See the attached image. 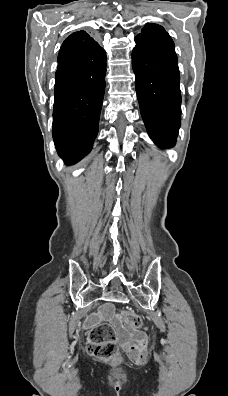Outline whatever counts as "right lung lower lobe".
<instances>
[{
	"label": "right lung lower lobe",
	"instance_id": "right-lung-lower-lobe-1",
	"mask_svg": "<svg viewBox=\"0 0 228 396\" xmlns=\"http://www.w3.org/2000/svg\"><path fill=\"white\" fill-rule=\"evenodd\" d=\"M58 63L52 135L58 154L74 164L91 151L98 133L106 53L98 44L83 51L63 42Z\"/></svg>",
	"mask_w": 228,
	"mask_h": 396
}]
</instances>
